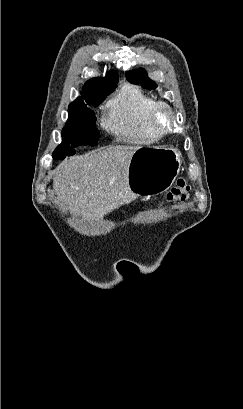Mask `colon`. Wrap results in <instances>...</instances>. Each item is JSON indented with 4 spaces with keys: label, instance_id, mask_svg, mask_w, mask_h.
Segmentation results:
<instances>
[{
    "label": "colon",
    "instance_id": "1",
    "mask_svg": "<svg viewBox=\"0 0 243 409\" xmlns=\"http://www.w3.org/2000/svg\"><path fill=\"white\" fill-rule=\"evenodd\" d=\"M190 187L185 179L177 180L176 184L170 189L166 195L168 202L183 201L188 197Z\"/></svg>",
    "mask_w": 243,
    "mask_h": 409
}]
</instances>
